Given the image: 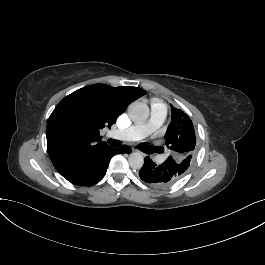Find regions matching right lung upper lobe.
<instances>
[{"instance_id":"cb5924a9","label":"right lung upper lobe","mask_w":265,"mask_h":265,"mask_svg":"<svg viewBox=\"0 0 265 265\" xmlns=\"http://www.w3.org/2000/svg\"><path fill=\"white\" fill-rule=\"evenodd\" d=\"M145 94L132 86L94 84L61 100L46 131L49 156L57 171L67 177L89 157L109 147L101 142L100 130L114 124L131 102Z\"/></svg>"}]
</instances>
